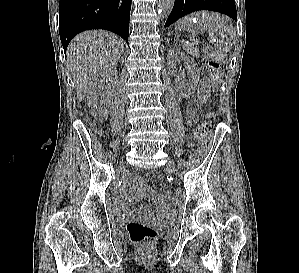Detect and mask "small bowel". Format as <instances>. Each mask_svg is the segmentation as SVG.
I'll list each match as a JSON object with an SVG mask.
<instances>
[{
	"label": "small bowel",
	"mask_w": 299,
	"mask_h": 273,
	"mask_svg": "<svg viewBox=\"0 0 299 273\" xmlns=\"http://www.w3.org/2000/svg\"><path fill=\"white\" fill-rule=\"evenodd\" d=\"M196 122V118L189 114V123L192 125ZM170 190L164 187L159 193L153 192L149 189L140 178L135 177L132 181V186L129 190L123 191L119 198V208L123 216H129L130 212L128 204L138 200L141 197H148L152 199L157 208V218L160 220H169L174 216V212L169 208ZM135 218H147L154 220L150 216V209L147 205H142L136 209L133 214Z\"/></svg>",
	"instance_id": "small-bowel-1"
}]
</instances>
